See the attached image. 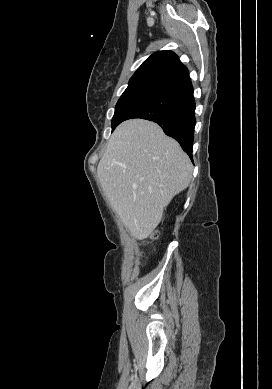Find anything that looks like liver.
Segmentation results:
<instances>
[{"label": "liver", "mask_w": 272, "mask_h": 389, "mask_svg": "<svg viewBox=\"0 0 272 389\" xmlns=\"http://www.w3.org/2000/svg\"><path fill=\"white\" fill-rule=\"evenodd\" d=\"M192 171L189 157L159 125L132 119L115 129L97 175L125 227L143 240L161 222L172 198L188 187Z\"/></svg>", "instance_id": "6515ba94"}]
</instances>
